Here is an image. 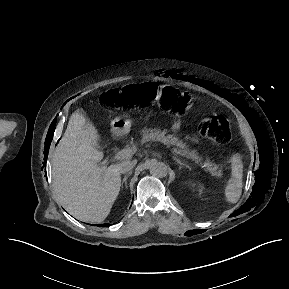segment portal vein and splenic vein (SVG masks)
I'll use <instances>...</instances> for the list:
<instances>
[{
    "mask_svg": "<svg viewBox=\"0 0 289 289\" xmlns=\"http://www.w3.org/2000/svg\"><path fill=\"white\" fill-rule=\"evenodd\" d=\"M167 146H169V145H167ZM173 152H174L175 154H180V153L177 152V151H173ZM132 154H133V149H132V148L123 149V150L117 152V153L114 155L113 159H114V160L125 159V158L130 157ZM182 156H186V155L182 154ZM106 163H107V161H104V162H103V164H106ZM197 163L199 164V166H200L201 168H204V167H205V165H204L203 163H201V162H199V161H197Z\"/></svg>",
    "mask_w": 289,
    "mask_h": 289,
    "instance_id": "portal-vein-and-splenic-vein-1",
    "label": "portal vein and splenic vein"
}]
</instances>
